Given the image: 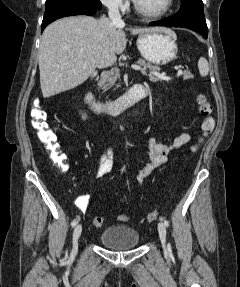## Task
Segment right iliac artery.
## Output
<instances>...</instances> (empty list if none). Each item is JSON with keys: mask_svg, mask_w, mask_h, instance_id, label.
Masks as SVG:
<instances>
[{"mask_svg": "<svg viewBox=\"0 0 240 287\" xmlns=\"http://www.w3.org/2000/svg\"><path fill=\"white\" fill-rule=\"evenodd\" d=\"M77 223H78L77 219H74V220L72 221V223H71V226H72V227H75Z\"/></svg>", "mask_w": 240, "mask_h": 287, "instance_id": "1", "label": "right iliac artery"}]
</instances>
